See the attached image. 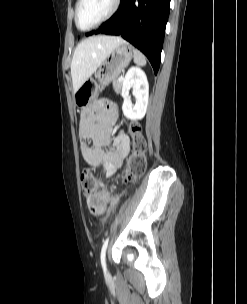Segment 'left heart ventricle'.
Listing matches in <instances>:
<instances>
[{
	"label": "left heart ventricle",
	"mask_w": 247,
	"mask_h": 304,
	"mask_svg": "<svg viewBox=\"0 0 247 304\" xmlns=\"http://www.w3.org/2000/svg\"><path fill=\"white\" fill-rule=\"evenodd\" d=\"M114 0H83L78 15L81 28H88L102 19L112 8Z\"/></svg>",
	"instance_id": "left-heart-ventricle-1"
}]
</instances>
